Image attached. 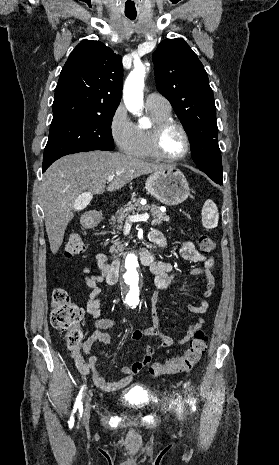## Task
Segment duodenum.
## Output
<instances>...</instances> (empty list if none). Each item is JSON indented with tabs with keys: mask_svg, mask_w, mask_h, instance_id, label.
<instances>
[{
	"mask_svg": "<svg viewBox=\"0 0 279 465\" xmlns=\"http://www.w3.org/2000/svg\"><path fill=\"white\" fill-rule=\"evenodd\" d=\"M103 219V216L100 215H93V216H88L85 220V225L87 227H94L96 226L101 220ZM139 259L140 262L143 265H151L154 261V254L152 251V247L149 244H143L140 247L139 250ZM120 266H121V261L120 258L116 259L110 267L109 273H108V283L111 285H114L118 282L119 276H120Z\"/></svg>",
	"mask_w": 279,
	"mask_h": 465,
	"instance_id": "duodenum-1",
	"label": "duodenum"
}]
</instances>
